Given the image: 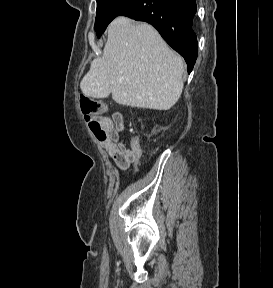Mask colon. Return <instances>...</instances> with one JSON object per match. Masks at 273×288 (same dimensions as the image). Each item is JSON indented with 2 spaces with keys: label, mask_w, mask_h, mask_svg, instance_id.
<instances>
[{
  "label": "colon",
  "mask_w": 273,
  "mask_h": 288,
  "mask_svg": "<svg viewBox=\"0 0 273 288\" xmlns=\"http://www.w3.org/2000/svg\"><path fill=\"white\" fill-rule=\"evenodd\" d=\"M80 106L92 133L98 139L105 138L106 133L99 122V118L106 112V104L102 100L96 98L81 96Z\"/></svg>",
  "instance_id": "1"
}]
</instances>
